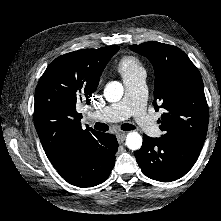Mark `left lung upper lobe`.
Masks as SVG:
<instances>
[{"label": "left lung upper lobe", "mask_w": 221, "mask_h": 221, "mask_svg": "<svg viewBox=\"0 0 221 221\" xmlns=\"http://www.w3.org/2000/svg\"><path fill=\"white\" fill-rule=\"evenodd\" d=\"M130 49L147 57L155 70V109H165L159 123L164 135L202 149L209 120L203 81L178 47L150 41Z\"/></svg>", "instance_id": "5c2ea615"}]
</instances>
